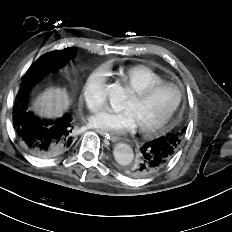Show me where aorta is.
<instances>
[{
	"label": "aorta",
	"mask_w": 232,
	"mask_h": 232,
	"mask_svg": "<svg viewBox=\"0 0 232 232\" xmlns=\"http://www.w3.org/2000/svg\"><path fill=\"white\" fill-rule=\"evenodd\" d=\"M107 95L112 108L115 111H120L124 108L127 94L125 89L120 84H111L107 86ZM113 155L117 163L120 165H129L134 153L129 144L117 143L113 150Z\"/></svg>",
	"instance_id": "aorta-1"
}]
</instances>
